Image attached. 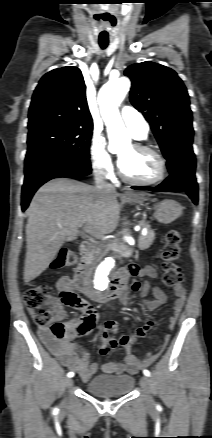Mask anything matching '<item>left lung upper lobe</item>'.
Instances as JSON below:
<instances>
[{
    "label": "left lung upper lobe",
    "mask_w": 212,
    "mask_h": 438,
    "mask_svg": "<svg viewBox=\"0 0 212 438\" xmlns=\"http://www.w3.org/2000/svg\"><path fill=\"white\" fill-rule=\"evenodd\" d=\"M130 101L143 113L167 159L179 148L192 146L194 130L189 95L176 72L146 61L129 66Z\"/></svg>",
    "instance_id": "left-lung-upper-lobe-1"
}]
</instances>
